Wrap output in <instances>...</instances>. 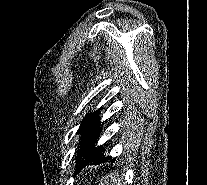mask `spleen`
I'll use <instances>...</instances> for the list:
<instances>
[{
	"mask_svg": "<svg viewBox=\"0 0 207 185\" xmlns=\"http://www.w3.org/2000/svg\"><path fill=\"white\" fill-rule=\"evenodd\" d=\"M127 176V172H119V170H114V174H107L106 183H109V185H114V183H119L122 177Z\"/></svg>",
	"mask_w": 207,
	"mask_h": 185,
	"instance_id": "1",
	"label": "spleen"
}]
</instances>
